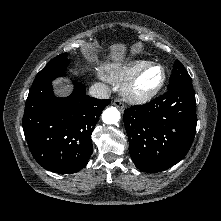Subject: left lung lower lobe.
Wrapping results in <instances>:
<instances>
[{
	"label": "left lung lower lobe",
	"mask_w": 221,
	"mask_h": 221,
	"mask_svg": "<svg viewBox=\"0 0 221 221\" xmlns=\"http://www.w3.org/2000/svg\"><path fill=\"white\" fill-rule=\"evenodd\" d=\"M129 152L135 166L148 173L164 171L182 160L196 132L192 81H181L144 105L124 112Z\"/></svg>",
	"instance_id": "1"
}]
</instances>
